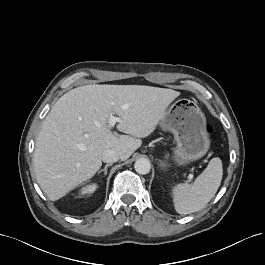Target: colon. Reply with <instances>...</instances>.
Returning <instances> with one entry per match:
<instances>
[{"mask_svg": "<svg viewBox=\"0 0 265 265\" xmlns=\"http://www.w3.org/2000/svg\"><path fill=\"white\" fill-rule=\"evenodd\" d=\"M207 131H208V133H211L212 132V130H211L210 127L207 128Z\"/></svg>", "mask_w": 265, "mask_h": 265, "instance_id": "5ec220e1", "label": "colon"}]
</instances>
